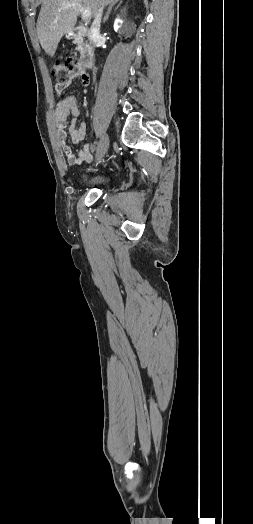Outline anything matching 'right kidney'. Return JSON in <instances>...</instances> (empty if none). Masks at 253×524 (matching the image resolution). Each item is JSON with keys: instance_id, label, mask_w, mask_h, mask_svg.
<instances>
[{"instance_id": "ca27d5eb", "label": "right kidney", "mask_w": 253, "mask_h": 524, "mask_svg": "<svg viewBox=\"0 0 253 524\" xmlns=\"http://www.w3.org/2000/svg\"><path fill=\"white\" fill-rule=\"evenodd\" d=\"M114 30L116 32H119L121 33L123 30H122V20L120 19H116L115 22H114Z\"/></svg>"}]
</instances>
